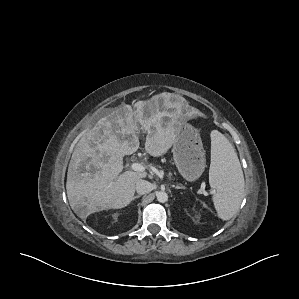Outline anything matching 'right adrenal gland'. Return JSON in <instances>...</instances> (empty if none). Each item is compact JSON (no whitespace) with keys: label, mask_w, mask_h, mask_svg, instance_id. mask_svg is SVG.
Returning a JSON list of instances; mask_svg holds the SVG:
<instances>
[{"label":"right adrenal gland","mask_w":299,"mask_h":299,"mask_svg":"<svg viewBox=\"0 0 299 299\" xmlns=\"http://www.w3.org/2000/svg\"><path fill=\"white\" fill-rule=\"evenodd\" d=\"M140 197H141V195H136V196L133 197V200L138 199Z\"/></svg>","instance_id":"2a0ac1e0"}]
</instances>
